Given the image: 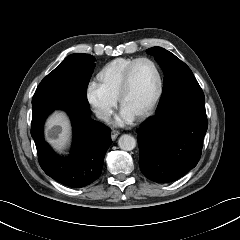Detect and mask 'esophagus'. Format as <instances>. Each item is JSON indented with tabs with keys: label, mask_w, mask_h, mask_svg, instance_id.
<instances>
[{
	"label": "esophagus",
	"mask_w": 240,
	"mask_h": 240,
	"mask_svg": "<svg viewBox=\"0 0 240 240\" xmlns=\"http://www.w3.org/2000/svg\"><path fill=\"white\" fill-rule=\"evenodd\" d=\"M119 134H120L119 131L112 130L111 131V139L114 141L118 137Z\"/></svg>",
	"instance_id": "esophagus-1"
}]
</instances>
